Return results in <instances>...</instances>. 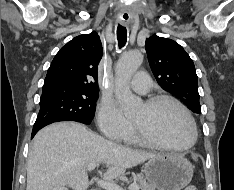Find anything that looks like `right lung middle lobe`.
<instances>
[{"mask_svg": "<svg viewBox=\"0 0 234 190\" xmlns=\"http://www.w3.org/2000/svg\"><path fill=\"white\" fill-rule=\"evenodd\" d=\"M98 90L64 86L43 87L40 111L33 130L58 121L90 124L95 111Z\"/></svg>", "mask_w": 234, "mask_h": 190, "instance_id": "right-lung-middle-lobe-1", "label": "right lung middle lobe"}]
</instances>
